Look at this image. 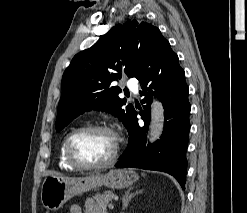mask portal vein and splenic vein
Listing matches in <instances>:
<instances>
[{
	"mask_svg": "<svg viewBox=\"0 0 247 213\" xmlns=\"http://www.w3.org/2000/svg\"><path fill=\"white\" fill-rule=\"evenodd\" d=\"M109 208H110V209H113V208H114V204L110 203V204H109Z\"/></svg>",
	"mask_w": 247,
	"mask_h": 213,
	"instance_id": "1",
	"label": "portal vein and splenic vein"
}]
</instances>
